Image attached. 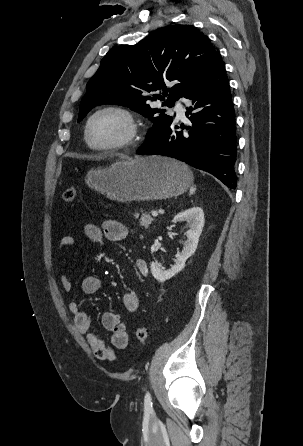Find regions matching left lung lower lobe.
I'll return each instance as SVG.
<instances>
[{
  "mask_svg": "<svg viewBox=\"0 0 303 446\" xmlns=\"http://www.w3.org/2000/svg\"><path fill=\"white\" fill-rule=\"evenodd\" d=\"M191 100L187 131L173 120L136 153L164 155L204 170L230 189L236 188L234 107L225 64L218 54L207 72L183 96ZM184 129L183 125L181 126Z\"/></svg>",
  "mask_w": 303,
  "mask_h": 446,
  "instance_id": "0a47b994",
  "label": "left lung lower lobe"
}]
</instances>
